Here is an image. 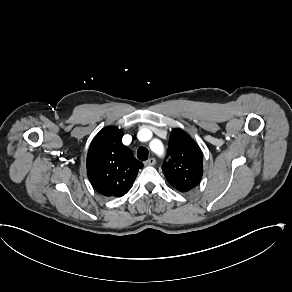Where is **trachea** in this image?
Returning a JSON list of instances; mask_svg holds the SVG:
<instances>
[{
  "mask_svg": "<svg viewBox=\"0 0 292 292\" xmlns=\"http://www.w3.org/2000/svg\"><path fill=\"white\" fill-rule=\"evenodd\" d=\"M149 152L146 147H139L137 150V158L141 161H145L148 159Z\"/></svg>",
  "mask_w": 292,
  "mask_h": 292,
  "instance_id": "3493384b",
  "label": "trachea"
}]
</instances>
